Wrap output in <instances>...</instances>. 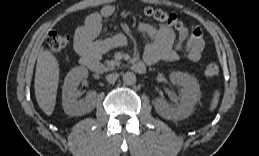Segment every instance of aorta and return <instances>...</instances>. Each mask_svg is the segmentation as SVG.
Here are the masks:
<instances>
[{"instance_id":"1","label":"aorta","mask_w":259,"mask_h":156,"mask_svg":"<svg viewBox=\"0 0 259 156\" xmlns=\"http://www.w3.org/2000/svg\"><path fill=\"white\" fill-rule=\"evenodd\" d=\"M123 82L126 85H134L136 83V75L133 72H126L123 75Z\"/></svg>"}]
</instances>
